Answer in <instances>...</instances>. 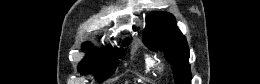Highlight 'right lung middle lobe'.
Masks as SVG:
<instances>
[{"mask_svg": "<svg viewBox=\"0 0 260 84\" xmlns=\"http://www.w3.org/2000/svg\"><path fill=\"white\" fill-rule=\"evenodd\" d=\"M83 49L90 55L80 63L79 70L82 73L93 71L99 81L111 76L116 69L118 58L124 54L123 49L114 50L113 48L93 51L89 44L83 45Z\"/></svg>", "mask_w": 260, "mask_h": 84, "instance_id": "right-lung-middle-lobe-1", "label": "right lung middle lobe"}]
</instances>
